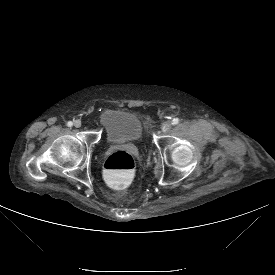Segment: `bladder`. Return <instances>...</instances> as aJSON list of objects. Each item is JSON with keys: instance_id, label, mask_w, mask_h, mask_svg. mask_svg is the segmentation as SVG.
<instances>
[{"instance_id": "bladder-1", "label": "bladder", "mask_w": 275, "mask_h": 275, "mask_svg": "<svg viewBox=\"0 0 275 275\" xmlns=\"http://www.w3.org/2000/svg\"><path fill=\"white\" fill-rule=\"evenodd\" d=\"M100 122L112 143L135 142L143 131L142 117L128 109H107L100 114Z\"/></svg>"}]
</instances>
